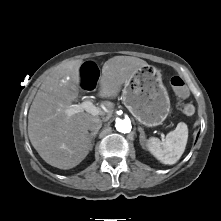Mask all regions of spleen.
I'll use <instances>...</instances> for the list:
<instances>
[{
  "instance_id": "obj_1",
  "label": "spleen",
  "mask_w": 221,
  "mask_h": 221,
  "mask_svg": "<svg viewBox=\"0 0 221 221\" xmlns=\"http://www.w3.org/2000/svg\"><path fill=\"white\" fill-rule=\"evenodd\" d=\"M188 140V127L184 122L178 123L175 130L166 135L165 140L151 137L147 148L163 164L173 165L182 156Z\"/></svg>"
}]
</instances>
